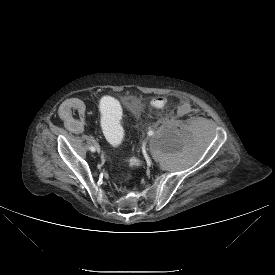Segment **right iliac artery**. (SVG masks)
Returning <instances> with one entry per match:
<instances>
[{"mask_svg": "<svg viewBox=\"0 0 275 275\" xmlns=\"http://www.w3.org/2000/svg\"><path fill=\"white\" fill-rule=\"evenodd\" d=\"M90 150H91L92 152H94L96 149H95V147L91 146V147H90Z\"/></svg>", "mask_w": 275, "mask_h": 275, "instance_id": "1", "label": "right iliac artery"}]
</instances>
